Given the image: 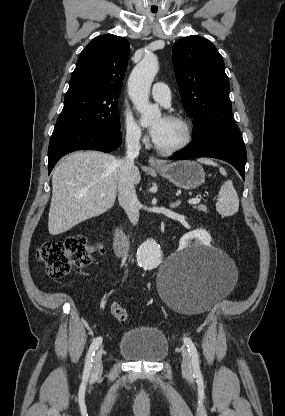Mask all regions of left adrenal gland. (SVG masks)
Segmentation results:
<instances>
[{
  "instance_id": "obj_1",
  "label": "left adrenal gland",
  "mask_w": 285,
  "mask_h": 416,
  "mask_svg": "<svg viewBox=\"0 0 285 416\" xmlns=\"http://www.w3.org/2000/svg\"><path fill=\"white\" fill-rule=\"evenodd\" d=\"M180 204H181V200H176V202H173V204H170V208H178Z\"/></svg>"
}]
</instances>
